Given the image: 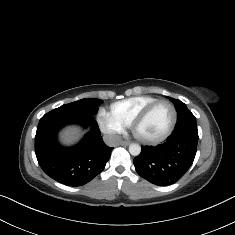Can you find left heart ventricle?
I'll list each match as a JSON object with an SVG mask.
<instances>
[{
    "label": "left heart ventricle",
    "instance_id": "b2bd125f",
    "mask_svg": "<svg viewBox=\"0 0 235 235\" xmlns=\"http://www.w3.org/2000/svg\"><path fill=\"white\" fill-rule=\"evenodd\" d=\"M172 116L173 111L170 105L166 103L160 104L149 118L138 127L137 134L145 139L162 136L169 129Z\"/></svg>",
    "mask_w": 235,
    "mask_h": 235
}]
</instances>
